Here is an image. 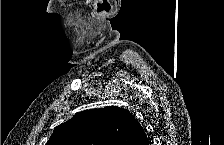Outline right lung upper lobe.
Here are the masks:
<instances>
[{"label":"right lung upper lobe","mask_w":224,"mask_h":145,"mask_svg":"<svg viewBox=\"0 0 224 145\" xmlns=\"http://www.w3.org/2000/svg\"><path fill=\"white\" fill-rule=\"evenodd\" d=\"M46 145H149L144 129L126 109L86 110L58 125Z\"/></svg>","instance_id":"cb5924a9"}]
</instances>
